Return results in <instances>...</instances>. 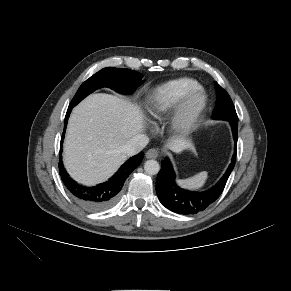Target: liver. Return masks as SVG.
<instances>
[{"mask_svg": "<svg viewBox=\"0 0 291 291\" xmlns=\"http://www.w3.org/2000/svg\"><path fill=\"white\" fill-rule=\"evenodd\" d=\"M144 130V116L137 105L110 94L88 96L68 121L64 164L69 174L85 185L103 182L126 161L122 146ZM190 145L178 137L166 147L180 153Z\"/></svg>", "mask_w": 291, "mask_h": 291, "instance_id": "obj_1", "label": "liver"}]
</instances>
